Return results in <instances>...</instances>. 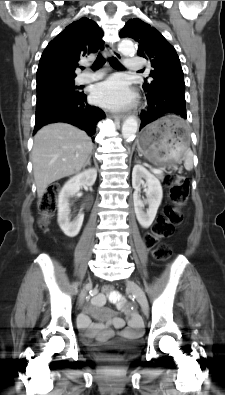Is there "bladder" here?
Masks as SVG:
<instances>
[{"label": "bladder", "mask_w": 225, "mask_h": 395, "mask_svg": "<svg viewBox=\"0 0 225 395\" xmlns=\"http://www.w3.org/2000/svg\"><path fill=\"white\" fill-rule=\"evenodd\" d=\"M139 346H140V340L137 339V340L129 342L127 345V348L130 351H134V350H137L139 348Z\"/></svg>", "instance_id": "1"}]
</instances>
